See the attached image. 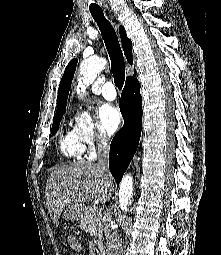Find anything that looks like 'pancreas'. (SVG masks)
Returning a JSON list of instances; mask_svg holds the SVG:
<instances>
[{"label":"pancreas","instance_id":"1","mask_svg":"<svg viewBox=\"0 0 221 255\" xmlns=\"http://www.w3.org/2000/svg\"><path fill=\"white\" fill-rule=\"evenodd\" d=\"M101 212L95 210L94 207H87L84 210L83 216L80 220V228L92 236H98V244L101 245L102 236V223H101Z\"/></svg>","mask_w":221,"mask_h":255}]
</instances>
